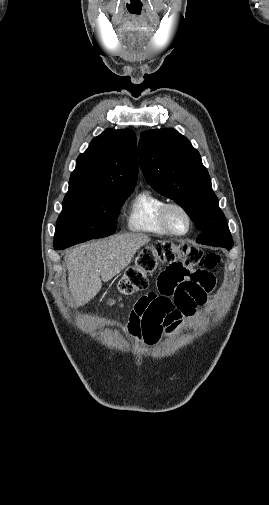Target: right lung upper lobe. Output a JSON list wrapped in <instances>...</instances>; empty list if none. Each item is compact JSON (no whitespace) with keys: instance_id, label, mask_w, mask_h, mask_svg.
I'll return each mask as SVG.
<instances>
[{"instance_id":"1","label":"right lung upper lobe","mask_w":269,"mask_h":505,"mask_svg":"<svg viewBox=\"0 0 269 505\" xmlns=\"http://www.w3.org/2000/svg\"><path fill=\"white\" fill-rule=\"evenodd\" d=\"M138 175L135 133L107 129L77 158L68 192H133Z\"/></svg>"}]
</instances>
